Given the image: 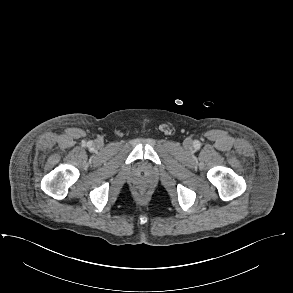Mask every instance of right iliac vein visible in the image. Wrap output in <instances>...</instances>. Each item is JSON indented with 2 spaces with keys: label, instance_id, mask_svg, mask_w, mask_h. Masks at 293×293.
Masks as SVG:
<instances>
[{
  "label": "right iliac vein",
  "instance_id": "63e3f726",
  "mask_svg": "<svg viewBox=\"0 0 293 293\" xmlns=\"http://www.w3.org/2000/svg\"><path fill=\"white\" fill-rule=\"evenodd\" d=\"M95 145L100 147L102 145V142L101 141H96Z\"/></svg>",
  "mask_w": 293,
  "mask_h": 293
}]
</instances>
